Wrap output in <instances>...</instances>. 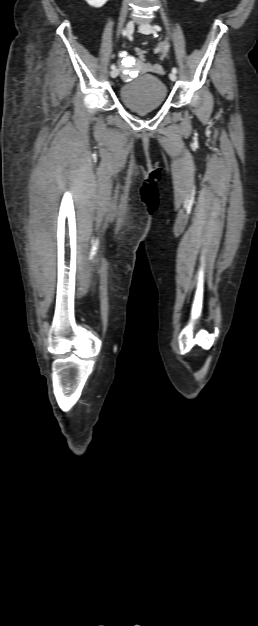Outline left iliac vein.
Instances as JSON below:
<instances>
[{
	"mask_svg": "<svg viewBox=\"0 0 258 626\" xmlns=\"http://www.w3.org/2000/svg\"><path fill=\"white\" fill-rule=\"evenodd\" d=\"M139 31H140L141 33H143V34H151V33H152V27H151V25H150V24H148V23H142V24L139 26ZM169 78H170V80H171V81H176V80H177V76H176V74H174L173 72H171V73L169 74Z\"/></svg>",
	"mask_w": 258,
	"mask_h": 626,
	"instance_id": "4c4485c4",
	"label": "left iliac vein"
}]
</instances>
